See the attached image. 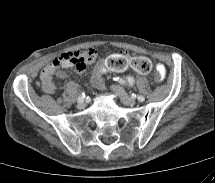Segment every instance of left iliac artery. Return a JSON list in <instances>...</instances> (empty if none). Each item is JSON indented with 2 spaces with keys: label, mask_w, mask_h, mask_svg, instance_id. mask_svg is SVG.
I'll use <instances>...</instances> for the list:
<instances>
[{
  "label": "left iliac artery",
  "mask_w": 215,
  "mask_h": 183,
  "mask_svg": "<svg viewBox=\"0 0 215 183\" xmlns=\"http://www.w3.org/2000/svg\"><path fill=\"white\" fill-rule=\"evenodd\" d=\"M113 80L118 81V82L121 83V84H123V83L125 82L123 79H121V78H119V77H115V78H113ZM133 95H134V94H133ZM138 100H139L140 102H143V101L145 100V97L142 96V95H138Z\"/></svg>",
  "instance_id": "44dca946"
}]
</instances>
